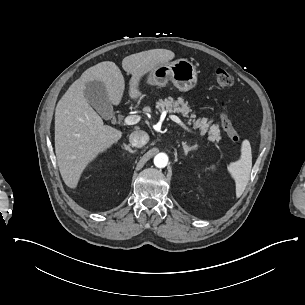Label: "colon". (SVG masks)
<instances>
[{
    "label": "colon",
    "instance_id": "colon-1",
    "mask_svg": "<svg viewBox=\"0 0 305 305\" xmlns=\"http://www.w3.org/2000/svg\"><path fill=\"white\" fill-rule=\"evenodd\" d=\"M216 84L221 88H226L232 85V75L226 69H217L215 71ZM221 127L225 134L233 141L240 142L242 140L241 134L237 131L233 125L229 115L223 111L219 115Z\"/></svg>",
    "mask_w": 305,
    "mask_h": 305
}]
</instances>
